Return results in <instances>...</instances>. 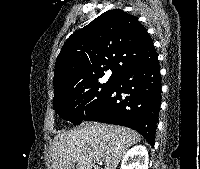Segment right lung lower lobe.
I'll return each mask as SVG.
<instances>
[{"mask_svg":"<svg viewBox=\"0 0 200 169\" xmlns=\"http://www.w3.org/2000/svg\"><path fill=\"white\" fill-rule=\"evenodd\" d=\"M161 103L158 59L128 70L115 78L103 105L84 121L122 125L138 131L151 146Z\"/></svg>","mask_w":200,"mask_h":169,"instance_id":"right-lung-lower-lobe-1","label":"right lung lower lobe"}]
</instances>
